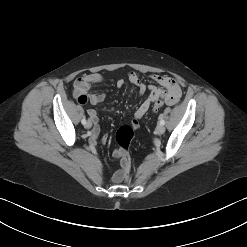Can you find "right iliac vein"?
Instances as JSON below:
<instances>
[{
	"label": "right iliac vein",
	"instance_id": "right-iliac-vein-1",
	"mask_svg": "<svg viewBox=\"0 0 247 247\" xmlns=\"http://www.w3.org/2000/svg\"><path fill=\"white\" fill-rule=\"evenodd\" d=\"M92 127V122L89 120L85 124V128L90 129Z\"/></svg>",
	"mask_w": 247,
	"mask_h": 247
}]
</instances>
